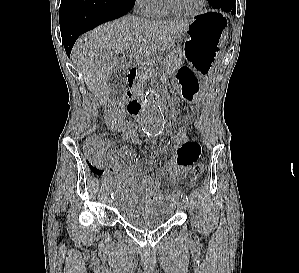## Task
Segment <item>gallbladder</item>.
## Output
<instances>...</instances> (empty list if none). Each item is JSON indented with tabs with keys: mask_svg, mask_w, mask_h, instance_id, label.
I'll return each instance as SVG.
<instances>
[{
	"mask_svg": "<svg viewBox=\"0 0 299 273\" xmlns=\"http://www.w3.org/2000/svg\"><path fill=\"white\" fill-rule=\"evenodd\" d=\"M129 69L130 65L127 64L125 61H118L109 81V90L111 98H121L124 96L126 91L125 76L128 73Z\"/></svg>",
	"mask_w": 299,
	"mask_h": 273,
	"instance_id": "obj_1",
	"label": "gallbladder"
}]
</instances>
